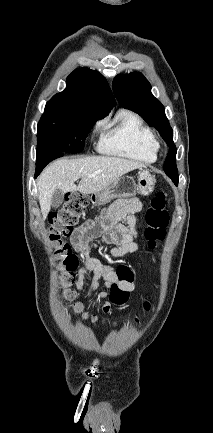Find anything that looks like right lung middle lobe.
Listing matches in <instances>:
<instances>
[{"label": "right lung middle lobe", "mask_w": 213, "mask_h": 433, "mask_svg": "<svg viewBox=\"0 0 213 433\" xmlns=\"http://www.w3.org/2000/svg\"><path fill=\"white\" fill-rule=\"evenodd\" d=\"M97 120L81 110L46 105L37 126L36 155L50 151H82L86 136Z\"/></svg>", "instance_id": "obj_1"}]
</instances>
